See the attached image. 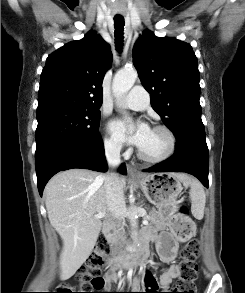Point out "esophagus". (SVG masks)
<instances>
[{
    "label": "esophagus",
    "mask_w": 245,
    "mask_h": 293,
    "mask_svg": "<svg viewBox=\"0 0 245 293\" xmlns=\"http://www.w3.org/2000/svg\"><path fill=\"white\" fill-rule=\"evenodd\" d=\"M128 173L130 176H138L139 175V171L133 166H128Z\"/></svg>",
    "instance_id": "34e87169"
}]
</instances>
